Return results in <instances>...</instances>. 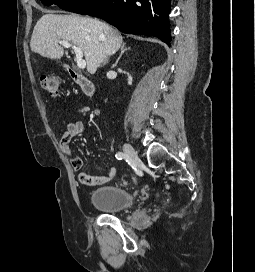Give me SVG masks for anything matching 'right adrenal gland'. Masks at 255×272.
Masks as SVG:
<instances>
[{
	"label": "right adrenal gland",
	"mask_w": 255,
	"mask_h": 272,
	"mask_svg": "<svg viewBox=\"0 0 255 272\" xmlns=\"http://www.w3.org/2000/svg\"><path fill=\"white\" fill-rule=\"evenodd\" d=\"M120 50H121V53H120L118 59L116 60L115 64L113 65V67H116V66H117V64H118L119 60L121 59L122 55H123L126 51L130 50V47H129V48H126V47H125V43H122Z\"/></svg>",
	"instance_id": "1"
}]
</instances>
